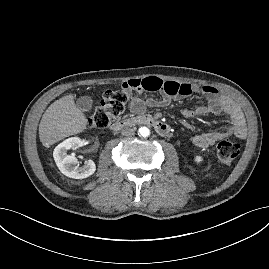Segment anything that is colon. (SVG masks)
<instances>
[{
	"label": "colon",
	"mask_w": 269,
	"mask_h": 269,
	"mask_svg": "<svg viewBox=\"0 0 269 269\" xmlns=\"http://www.w3.org/2000/svg\"><path fill=\"white\" fill-rule=\"evenodd\" d=\"M129 93L124 86L118 90L105 91L100 104L87 120L89 127L104 128L120 116L125 109ZM239 153L240 145L231 140H221L217 145V157L224 164L232 163Z\"/></svg>",
	"instance_id": "1"
}]
</instances>
